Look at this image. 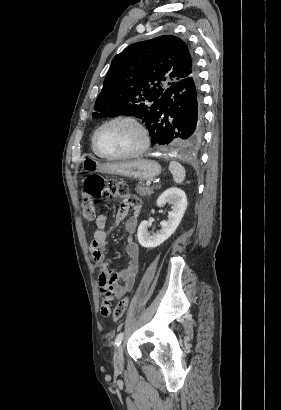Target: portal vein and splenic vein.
I'll list each match as a JSON object with an SVG mask.
<instances>
[{"instance_id": "1", "label": "portal vein and splenic vein", "mask_w": 281, "mask_h": 410, "mask_svg": "<svg viewBox=\"0 0 281 410\" xmlns=\"http://www.w3.org/2000/svg\"><path fill=\"white\" fill-rule=\"evenodd\" d=\"M150 184H151V182H150V181H147V182H146V185H147V186H149Z\"/></svg>"}]
</instances>
